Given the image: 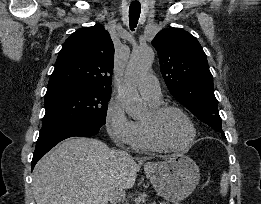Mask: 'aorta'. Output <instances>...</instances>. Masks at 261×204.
<instances>
[{
  "label": "aorta",
  "mask_w": 261,
  "mask_h": 204,
  "mask_svg": "<svg viewBox=\"0 0 261 204\" xmlns=\"http://www.w3.org/2000/svg\"><path fill=\"white\" fill-rule=\"evenodd\" d=\"M154 51L150 47L138 48L131 54L126 68L124 83L119 88V97L125 111L134 119L146 114V104L137 90V81L144 76L152 66Z\"/></svg>",
  "instance_id": "obj_1"
}]
</instances>
